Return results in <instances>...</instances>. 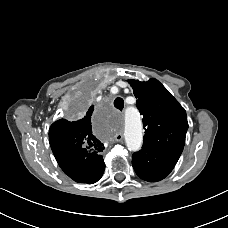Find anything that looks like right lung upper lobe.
I'll return each mask as SVG.
<instances>
[{
	"mask_svg": "<svg viewBox=\"0 0 228 228\" xmlns=\"http://www.w3.org/2000/svg\"><path fill=\"white\" fill-rule=\"evenodd\" d=\"M94 107L75 121L60 119L49 129V142L55 157L80 151L82 153L101 154L103 144L93 135L91 117Z\"/></svg>",
	"mask_w": 228,
	"mask_h": 228,
	"instance_id": "1",
	"label": "right lung upper lobe"
}]
</instances>
